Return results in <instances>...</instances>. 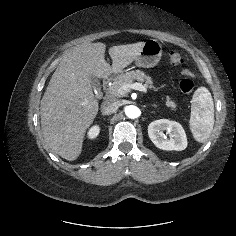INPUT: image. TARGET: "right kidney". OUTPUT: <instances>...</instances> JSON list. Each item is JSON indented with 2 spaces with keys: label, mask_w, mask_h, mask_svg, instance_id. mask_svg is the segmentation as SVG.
<instances>
[{
  "label": "right kidney",
  "mask_w": 236,
  "mask_h": 236,
  "mask_svg": "<svg viewBox=\"0 0 236 236\" xmlns=\"http://www.w3.org/2000/svg\"><path fill=\"white\" fill-rule=\"evenodd\" d=\"M99 132H100V127L93 126L88 132V137L90 139H95L99 135Z\"/></svg>",
  "instance_id": "1"
}]
</instances>
